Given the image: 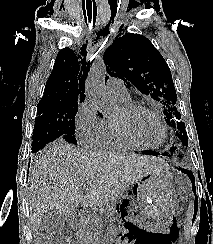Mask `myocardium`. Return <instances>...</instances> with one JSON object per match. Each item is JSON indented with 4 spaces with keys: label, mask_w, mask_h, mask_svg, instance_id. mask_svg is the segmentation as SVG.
<instances>
[{
    "label": "myocardium",
    "mask_w": 213,
    "mask_h": 244,
    "mask_svg": "<svg viewBox=\"0 0 213 244\" xmlns=\"http://www.w3.org/2000/svg\"><path fill=\"white\" fill-rule=\"evenodd\" d=\"M123 110L125 111V113L127 115H133L137 112L140 111H145L150 113L151 115H153L159 122V124L161 125L164 135H163V139L161 140V142L157 145H148L145 144L141 141H139L129 130L127 124L124 121H119V120H114L115 122V126L116 129L119 133V135L128 143L141 148V149H156L160 146H162L168 136V128L165 124V122L163 121L162 117L160 116L159 113H157L155 110H153L152 108L145 106V105H141V104H129V105H124L123 106Z\"/></svg>",
    "instance_id": "1"
}]
</instances>
